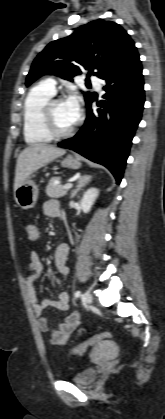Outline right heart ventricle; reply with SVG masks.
Listing matches in <instances>:
<instances>
[{
	"label": "right heart ventricle",
	"mask_w": 165,
	"mask_h": 419,
	"mask_svg": "<svg viewBox=\"0 0 165 419\" xmlns=\"http://www.w3.org/2000/svg\"><path fill=\"white\" fill-rule=\"evenodd\" d=\"M53 95L54 92L44 83L37 84L28 92L23 106V134L27 143L42 144L52 140L43 124L42 109Z\"/></svg>",
	"instance_id": "right-heart-ventricle-1"
}]
</instances>
